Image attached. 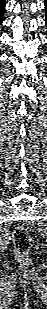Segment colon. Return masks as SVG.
<instances>
[{
  "mask_svg": "<svg viewBox=\"0 0 47 309\" xmlns=\"http://www.w3.org/2000/svg\"><path fill=\"white\" fill-rule=\"evenodd\" d=\"M13 244L17 259L21 263H27L29 261V253L33 246L32 238L28 230L19 226L13 233Z\"/></svg>",
  "mask_w": 47,
  "mask_h": 309,
  "instance_id": "obj_1",
  "label": "colon"
}]
</instances>
